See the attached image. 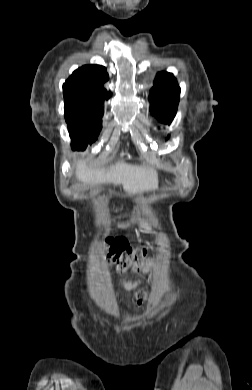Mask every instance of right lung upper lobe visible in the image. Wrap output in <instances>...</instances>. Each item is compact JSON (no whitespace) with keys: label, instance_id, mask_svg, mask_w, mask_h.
<instances>
[{"label":"right lung upper lobe","instance_id":"right-lung-upper-lobe-1","mask_svg":"<svg viewBox=\"0 0 252 390\" xmlns=\"http://www.w3.org/2000/svg\"><path fill=\"white\" fill-rule=\"evenodd\" d=\"M107 70L101 65H85L73 72L63 84L64 110L102 108L104 99L111 96L104 88Z\"/></svg>","mask_w":252,"mask_h":390}]
</instances>
